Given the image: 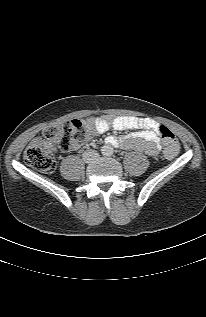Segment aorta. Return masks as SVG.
<instances>
[{
	"label": "aorta",
	"mask_w": 206,
	"mask_h": 317,
	"mask_svg": "<svg viewBox=\"0 0 206 317\" xmlns=\"http://www.w3.org/2000/svg\"><path fill=\"white\" fill-rule=\"evenodd\" d=\"M112 148L111 147H107L105 150H104V153H110L112 150H111Z\"/></svg>",
	"instance_id": "1"
}]
</instances>
